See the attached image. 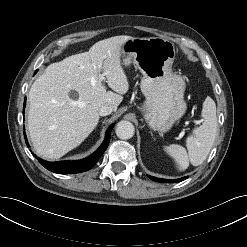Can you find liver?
I'll list each match as a JSON object with an SVG mask.
<instances>
[{"label":"liver","instance_id":"1","mask_svg":"<svg viewBox=\"0 0 247 247\" xmlns=\"http://www.w3.org/2000/svg\"><path fill=\"white\" fill-rule=\"evenodd\" d=\"M131 38L121 35L98 41L88 52L50 64L35 80L29 91L27 126L40 157L59 159L79 146L97 126L102 105L117 110L129 89L120 58ZM101 72L114 92L102 84ZM71 91L78 98L72 99Z\"/></svg>","mask_w":247,"mask_h":247}]
</instances>
